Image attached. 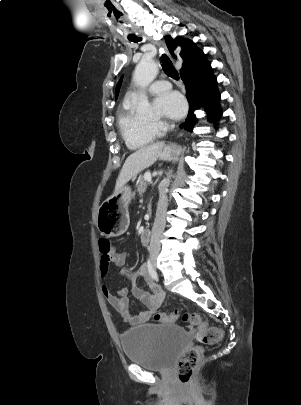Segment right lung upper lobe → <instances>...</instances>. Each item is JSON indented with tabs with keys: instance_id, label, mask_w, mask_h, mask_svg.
Listing matches in <instances>:
<instances>
[{
	"instance_id": "obj_1",
	"label": "right lung upper lobe",
	"mask_w": 301,
	"mask_h": 405,
	"mask_svg": "<svg viewBox=\"0 0 301 405\" xmlns=\"http://www.w3.org/2000/svg\"><path fill=\"white\" fill-rule=\"evenodd\" d=\"M165 40L170 53L174 57H176L174 54L175 48L178 45L182 47L180 56L183 58L184 63L181 68V71L187 70L196 65L197 63L205 60L204 53L200 49H198L191 40L188 39L183 40L180 37L172 39L170 36H166Z\"/></svg>"
}]
</instances>
